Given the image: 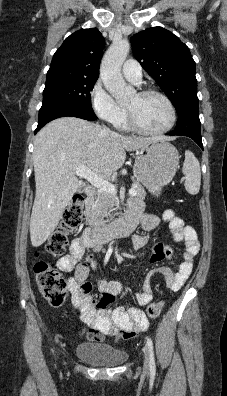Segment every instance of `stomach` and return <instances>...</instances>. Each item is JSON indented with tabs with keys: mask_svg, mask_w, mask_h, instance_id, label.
<instances>
[{
	"mask_svg": "<svg viewBox=\"0 0 227 396\" xmlns=\"http://www.w3.org/2000/svg\"><path fill=\"white\" fill-rule=\"evenodd\" d=\"M177 149L164 140H156L136 152L133 167L137 181L151 193L158 195L175 176L179 167Z\"/></svg>",
	"mask_w": 227,
	"mask_h": 396,
	"instance_id": "1",
	"label": "stomach"
}]
</instances>
